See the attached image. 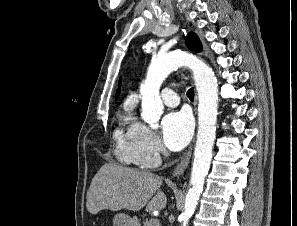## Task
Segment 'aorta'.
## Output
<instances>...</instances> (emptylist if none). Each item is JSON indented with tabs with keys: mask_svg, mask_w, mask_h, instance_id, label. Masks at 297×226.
Wrapping results in <instances>:
<instances>
[{
	"mask_svg": "<svg viewBox=\"0 0 297 226\" xmlns=\"http://www.w3.org/2000/svg\"><path fill=\"white\" fill-rule=\"evenodd\" d=\"M179 67H189L193 71L199 99V126L190 187L186 194L184 211L181 214L182 226H187L203 192L204 181L210 168L212 150L216 139L218 87L212 68L196 56L186 52H170L155 58L149 66L146 80L140 88L142 99L141 117L152 129L159 127L158 121L164 108L159 95L160 87L168 75Z\"/></svg>",
	"mask_w": 297,
	"mask_h": 226,
	"instance_id": "762f6f07",
	"label": "aorta"
}]
</instances>
